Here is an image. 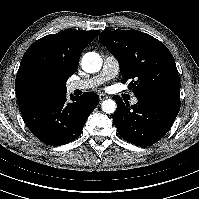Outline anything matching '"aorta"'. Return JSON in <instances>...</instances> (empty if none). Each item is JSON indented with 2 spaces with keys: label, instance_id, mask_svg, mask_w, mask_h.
I'll use <instances>...</instances> for the list:
<instances>
[{
  "label": "aorta",
  "instance_id": "1",
  "mask_svg": "<svg viewBox=\"0 0 199 199\" xmlns=\"http://www.w3.org/2000/svg\"><path fill=\"white\" fill-rule=\"evenodd\" d=\"M81 66L85 72L95 73L101 69L102 59L99 54L95 52H88L83 56ZM101 108L105 113H114L117 108L116 102L112 99H107L102 102Z\"/></svg>",
  "mask_w": 199,
  "mask_h": 199
}]
</instances>
